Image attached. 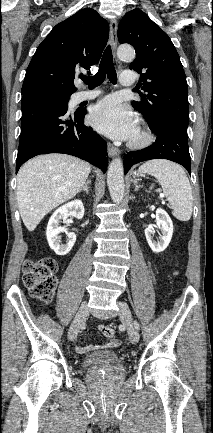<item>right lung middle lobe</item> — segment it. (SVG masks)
Here are the masks:
<instances>
[{"label":"right lung middle lobe","mask_w":213,"mask_h":433,"mask_svg":"<svg viewBox=\"0 0 213 433\" xmlns=\"http://www.w3.org/2000/svg\"><path fill=\"white\" fill-rule=\"evenodd\" d=\"M37 97L53 100L55 102L60 103L61 105L68 107V101L70 99V95H57V94H50V93H35L32 94Z\"/></svg>","instance_id":"right-lung-middle-lobe-1"}]
</instances>
